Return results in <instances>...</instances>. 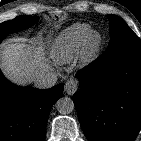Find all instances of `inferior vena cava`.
I'll list each match as a JSON object with an SVG mask.
<instances>
[{"instance_id":"inferior-vena-cava-1","label":"inferior vena cava","mask_w":141,"mask_h":141,"mask_svg":"<svg viewBox=\"0 0 141 141\" xmlns=\"http://www.w3.org/2000/svg\"><path fill=\"white\" fill-rule=\"evenodd\" d=\"M57 82V75L52 72H47L42 76L38 77L34 81V85L39 89H48L53 87Z\"/></svg>"}]
</instances>
